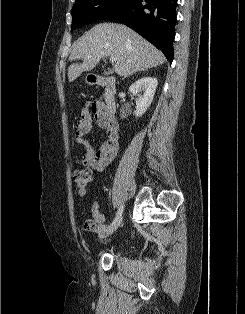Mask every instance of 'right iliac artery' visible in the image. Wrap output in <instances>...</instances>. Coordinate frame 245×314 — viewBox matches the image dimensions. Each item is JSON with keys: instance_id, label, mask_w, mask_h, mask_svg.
Listing matches in <instances>:
<instances>
[{"instance_id": "obj_1", "label": "right iliac artery", "mask_w": 245, "mask_h": 314, "mask_svg": "<svg viewBox=\"0 0 245 314\" xmlns=\"http://www.w3.org/2000/svg\"><path fill=\"white\" fill-rule=\"evenodd\" d=\"M122 210H123V205H121L120 208L118 209V212H117V214H116V217H115V219L112 221L111 225L108 227V230H110V228L113 227V225L115 224V222H116V220H117L118 214H119ZM108 230H107V231H108Z\"/></svg>"}]
</instances>
